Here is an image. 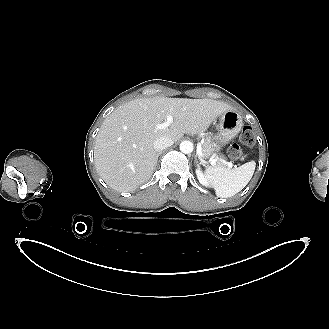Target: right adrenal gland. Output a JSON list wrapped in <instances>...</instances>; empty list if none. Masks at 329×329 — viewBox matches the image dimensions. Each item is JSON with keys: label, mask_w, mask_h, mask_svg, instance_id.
<instances>
[{"label": "right adrenal gland", "mask_w": 329, "mask_h": 329, "mask_svg": "<svg viewBox=\"0 0 329 329\" xmlns=\"http://www.w3.org/2000/svg\"><path fill=\"white\" fill-rule=\"evenodd\" d=\"M160 154H161L160 152L157 153V155H156V159H157V160H158V157H159Z\"/></svg>", "instance_id": "1"}]
</instances>
